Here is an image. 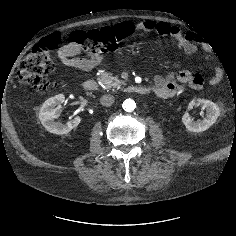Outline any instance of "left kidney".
Listing matches in <instances>:
<instances>
[{
  "mask_svg": "<svg viewBox=\"0 0 236 236\" xmlns=\"http://www.w3.org/2000/svg\"><path fill=\"white\" fill-rule=\"evenodd\" d=\"M201 106L206 109V117L198 122H194L193 119L186 112L182 121L186 127V129L190 132H203L209 129L220 116V108L214 102L205 99H194L189 103L188 109L193 107Z\"/></svg>",
  "mask_w": 236,
  "mask_h": 236,
  "instance_id": "left-kidney-1",
  "label": "left kidney"
}]
</instances>
